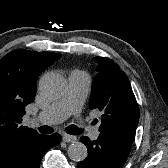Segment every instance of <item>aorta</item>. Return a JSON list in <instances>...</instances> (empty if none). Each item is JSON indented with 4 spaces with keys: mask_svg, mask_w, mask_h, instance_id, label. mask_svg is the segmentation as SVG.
I'll return each instance as SVG.
<instances>
[{
    "mask_svg": "<svg viewBox=\"0 0 168 168\" xmlns=\"http://www.w3.org/2000/svg\"><path fill=\"white\" fill-rule=\"evenodd\" d=\"M65 79L58 73H46L39 82V90L43 97L49 100L59 98L65 90ZM68 156L71 160L83 161L88 154L87 147L81 142H73L68 147Z\"/></svg>",
    "mask_w": 168,
    "mask_h": 168,
    "instance_id": "obj_1",
    "label": "aorta"
}]
</instances>
